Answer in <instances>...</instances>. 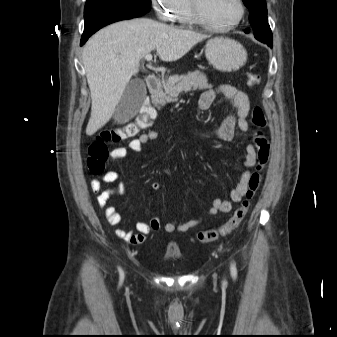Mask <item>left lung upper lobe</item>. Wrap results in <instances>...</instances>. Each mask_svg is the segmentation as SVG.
Wrapping results in <instances>:
<instances>
[{
  "label": "left lung upper lobe",
  "instance_id": "5c2ea615",
  "mask_svg": "<svg viewBox=\"0 0 337 337\" xmlns=\"http://www.w3.org/2000/svg\"><path fill=\"white\" fill-rule=\"evenodd\" d=\"M243 2L249 8V20L255 38L262 42H272V32L268 24L265 0H243ZM245 32L249 33V30Z\"/></svg>",
  "mask_w": 337,
  "mask_h": 337
}]
</instances>
